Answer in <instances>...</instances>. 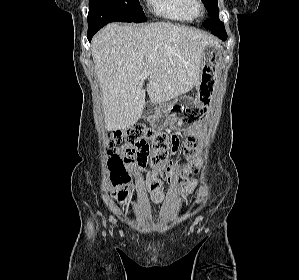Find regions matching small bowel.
I'll use <instances>...</instances> for the list:
<instances>
[{"mask_svg":"<svg viewBox=\"0 0 299 280\" xmlns=\"http://www.w3.org/2000/svg\"><path fill=\"white\" fill-rule=\"evenodd\" d=\"M193 130L189 131V134H193ZM121 153L126 156L128 152L127 146H123ZM162 176L158 168H152L145 178V186L150 194L151 200L154 203H162L165 200V193L162 189ZM197 185V180L193 177L184 185L183 195L190 194Z\"/></svg>","mask_w":299,"mask_h":280,"instance_id":"small-bowel-1","label":"small bowel"}]
</instances>
